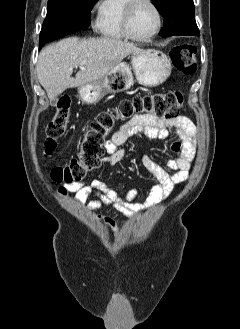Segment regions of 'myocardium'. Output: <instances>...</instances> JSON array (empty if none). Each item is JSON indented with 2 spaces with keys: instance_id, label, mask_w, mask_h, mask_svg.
Returning a JSON list of instances; mask_svg holds the SVG:
<instances>
[{
  "instance_id": "1",
  "label": "myocardium",
  "mask_w": 240,
  "mask_h": 329,
  "mask_svg": "<svg viewBox=\"0 0 240 329\" xmlns=\"http://www.w3.org/2000/svg\"><path fill=\"white\" fill-rule=\"evenodd\" d=\"M140 3H147L148 5H150L153 8V10L155 11V14L157 17L156 28L154 29V31L151 34H149L147 36L135 35L130 26V21H131L133 10H134L135 6ZM122 24H123L124 33L130 39L135 40V41H149V40H152L160 32L162 25H163V15H162L160 8L153 0H129V3L126 5V8L124 10Z\"/></svg>"
}]
</instances>
